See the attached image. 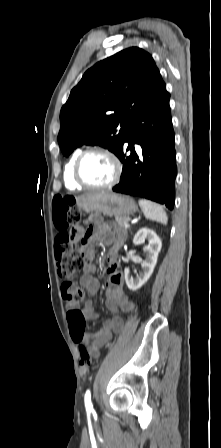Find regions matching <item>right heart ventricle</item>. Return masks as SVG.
Here are the masks:
<instances>
[{
  "label": "right heart ventricle",
  "mask_w": 221,
  "mask_h": 448,
  "mask_svg": "<svg viewBox=\"0 0 221 448\" xmlns=\"http://www.w3.org/2000/svg\"><path fill=\"white\" fill-rule=\"evenodd\" d=\"M81 152H82L81 150L75 151L71 155L69 160L67 161L65 168H64V173H63L64 185L69 190H78V189L82 188L81 185H79L78 183L75 182V180L73 179V175H72L73 165L75 163V160L77 159V157L80 155Z\"/></svg>",
  "instance_id": "1"
}]
</instances>
